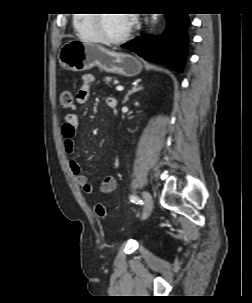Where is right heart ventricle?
<instances>
[{"mask_svg": "<svg viewBox=\"0 0 252 303\" xmlns=\"http://www.w3.org/2000/svg\"><path fill=\"white\" fill-rule=\"evenodd\" d=\"M74 26L84 39L101 42L102 38L97 29L94 14H78L74 19Z\"/></svg>", "mask_w": 252, "mask_h": 303, "instance_id": "1", "label": "right heart ventricle"}]
</instances>
